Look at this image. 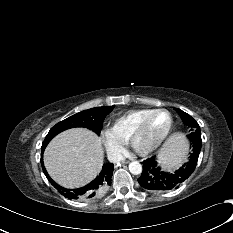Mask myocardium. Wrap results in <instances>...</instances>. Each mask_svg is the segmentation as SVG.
<instances>
[{
	"instance_id": "myocardium-1",
	"label": "myocardium",
	"mask_w": 233,
	"mask_h": 233,
	"mask_svg": "<svg viewBox=\"0 0 233 233\" xmlns=\"http://www.w3.org/2000/svg\"><path fill=\"white\" fill-rule=\"evenodd\" d=\"M166 112L168 114L169 117V122L168 125L165 129V131L163 132V134L151 145L147 146V147H140L138 145V141L141 138L142 134L144 133V130L146 129V126L150 120V118L157 112ZM172 123H173V116L171 114V112L166 109V108H156V109H152L148 114H146L137 124L136 128L134 129L130 139H129V144L131 146V148L139 155L142 156H146L149 155L151 153H153L154 151H156L163 143L164 141L167 139L171 128H172Z\"/></svg>"
}]
</instances>
